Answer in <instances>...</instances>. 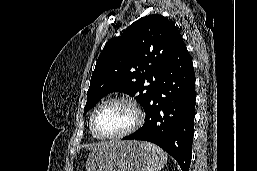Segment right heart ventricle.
I'll return each instance as SVG.
<instances>
[{
    "mask_svg": "<svg viewBox=\"0 0 257 171\" xmlns=\"http://www.w3.org/2000/svg\"><path fill=\"white\" fill-rule=\"evenodd\" d=\"M94 111H95V110H94ZM93 113H94V112H93ZM93 113H92L91 116H90V130H91V118H92ZM91 133H92V131H91ZM92 135H93L95 138H97L93 133H92Z\"/></svg>",
    "mask_w": 257,
    "mask_h": 171,
    "instance_id": "obj_1",
    "label": "right heart ventricle"
}]
</instances>
